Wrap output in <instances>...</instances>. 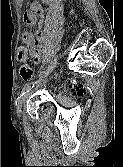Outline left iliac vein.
Returning <instances> with one entry per match:
<instances>
[{
  "instance_id": "obj_1",
  "label": "left iliac vein",
  "mask_w": 123,
  "mask_h": 167,
  "mask_svg": "<svg viewBox=\"0 0 123 167\" xmlns=\"http://www.w3.org/2000/svg\"><path fill=\"white\" fill-rule=\"evenodd\" d=\"M46 82V81H45ZM45 82H43V84H45ZM32 89L28 90L25 94H23L17 101V105H16V110L17 113L20 115L22 112V107L25 104L27 98L29 97V95L31 94Z\"/></svg>"
}]
</instances>
